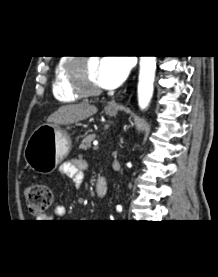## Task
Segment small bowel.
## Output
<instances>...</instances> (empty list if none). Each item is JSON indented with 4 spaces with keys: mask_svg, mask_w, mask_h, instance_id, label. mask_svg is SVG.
<instances>
[{
    "mask_svg": "<svg viewBox=\"0 0 218 277\" xmlns=\"http://www.w3.org/2000/svg\"><path fill=\"white\" fill-rule=\"evenodd\" d=\"M86 169V163L83 160H75L65 162L60 166L59 172L65 178H70L77 186H81L84 182V171ZM65 207L63 205H57L52 212L40 218L44 222H51L57 218L65 215Z\"/></svg>",
    "mask_w": 218,
    "mask_h": 277,
    "instance_id": "c3829d8e",
    "label": "small bowel"
}]
</instances>
